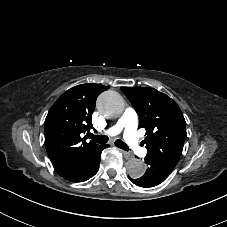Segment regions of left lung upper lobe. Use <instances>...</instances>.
<instances>
[{
  "mask_svg": "<svg viewBox=\"0 0 227 227\" xmlns=\"http://www.w3.org/2000/svg\"><path fill=\"white\" fill-rule=\"evenodd\" d=\"M139 115V128L146 129L143 141L146 158L174 169L186 139V122L178 105L153 88L121 87Z\"/></svg>",
  "mask_w": 227,
  "mask_h": 227,
  "instance_id": "obj_1",
  "label": "left lung upper lobe"
}]
</instances>
